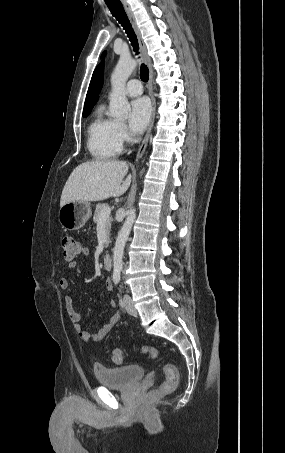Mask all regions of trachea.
<instances>
[{"label":"trachea","instance_id":"1","mask_svg":"<svg viewBox=\"0 0 285 453\" xmlns=\"http://www.w3.org/2000/svg\"><path fill=\"white\" fill-rule=\"evenodd\" d=\"M111 1V2H109ZM107 7L109 8L111 14L116 18V20L121 24L123 29L126 31V34L133 46L134 51L138 54V40L136 35L131 27L129 19L124 11L122 3L119 0H105ZM140 78L143 82H147L149 79V70L146 65L142 64L140 68Z\"/></svg>","mask_w":285,"mask_h":453}]
</instances>
